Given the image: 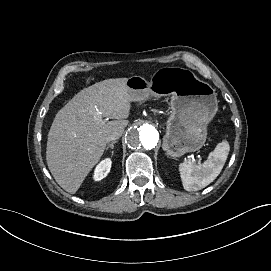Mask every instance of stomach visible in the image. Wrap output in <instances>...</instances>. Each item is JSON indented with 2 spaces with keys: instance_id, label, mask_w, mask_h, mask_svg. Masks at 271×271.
Here are the masks:
<instances>
[{
  "instance_id": "0dacf381",
  "label": "stomach",
  "mask_w": 271,
  "mask_h": 271,
  "mask_svg": "<svg viewBox=\"0 0 271 271\" xmlns=\"http://www.w3.org/2000/svg\"><path fill=\"white\" fill-rule=\"evenodd\" d=\"M130 101H143L150 95H171L172 113L166 123L163 149L176 158L199 150L207 138V125L218 110L217 94L206 82L184 68L157 70L150 82L140 76L127 81Z\"/></svg>"
}]
</instances>
